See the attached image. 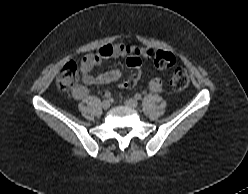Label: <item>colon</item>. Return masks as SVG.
Listing matches in <instances>:
<instances>
[{"mask_svg":"<svg viewBox=\"0 0 248 194\" xmlns=\"http://www.w3.org/2000/svg\"><path fill=\"white\" fill-rule=\"evenodd\" d=\"M154 57L158 69L170 68L175 64V57L171 53L156 51ZM78 77L79 72L77 64L75 62H69L62 68L57 85L60 90L68 91L76 85ZM189 81L190 79L187 71L182 67H178L172 75L170 85L174 90H183L188 86ZM135 82H137V78L126 80L121 82L119 87L128 88Z\"/></svg>","mask_w":248,"mask_h":194,"instance_id":"1","label":"colon"}]
</instances>
